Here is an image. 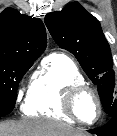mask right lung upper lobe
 Segmentation results:
<instances>
[{
  "instance_id": "obj_1",
  "label": "right lung upper lobe",
  "mask_w": 117,
  "mask_h": 136,
  "mask_svg": "<svg viewBox=\"0 0 117 136\" xmlns=\"http://www.w3.org/2000/svg\"><path fill=\"white\" fill-rule=\"evenodd\" d=\"M46 30L39 18L7 8L0 14V58L36 60L45 50Z\"/></svg>"
}]
</instances>
